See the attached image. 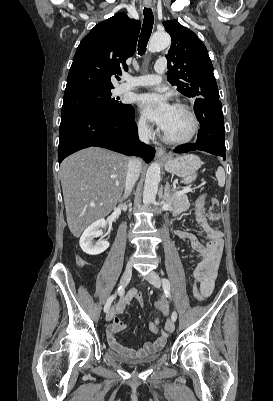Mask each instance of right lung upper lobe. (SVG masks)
Returning a JSON list of instances; mask_svg holds the SVG:
<instances>
[{"instance_id":"right-lung-upper-lobe-1","label":"right lung upper lobe","mask_w":273,"mask_h":401,"mask_svg":"<svg viewBox=\"0 0 273 401\" xmlns=\"http://www.w3.org/2000/svg\"><path fill=\"white\" fill-rule=\"evenodd\" d=\"M140 23L124 13L97 24L80 42L71 65L65 95L111 90V76L127 69L136 50Z\"/></svg>"}]
</instances>
